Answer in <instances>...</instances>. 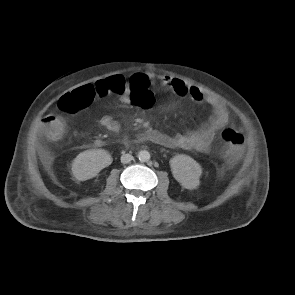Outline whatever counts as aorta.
Returning a JSON list of instances; mask_svg holds the SVG:
<instances>
[{
	"instance_id": "aorta-1",
	"label": "aorta",
	"mask_w": 295,
	"mask_h": 295,
	"mask_svg": "<svg viewBox=\"0 0 295 295\" xmlns=\"http://www.w3.org/2000/svg\"><path fill=\"white\" fill-rule=\"evenodd\" d=\"M138 159L141 162H146L150 159V153L147 150H141L138 153Z\"/></svg>"
}]
</instances>
